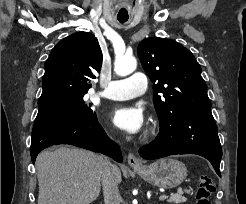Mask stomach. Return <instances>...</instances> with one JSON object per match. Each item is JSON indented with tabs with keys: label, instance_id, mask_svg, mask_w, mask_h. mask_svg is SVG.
<instances>
[{
	"label": "stomach",
	"instance_id": "stomach-1",
	"mask_svg": "<svg viewBox=\"0 0 246 204\" xmlns=\"http://www.w3.org/2000/svg\"><path fill=\"white\" fill-rule=\"evenodd\" d=\"M134 171L146 182L162 188H174L187 177L184 163L173 158L159 159Z\"/></svg>",
	"mask_w": 246,
	"mask_h": 204
}]
</instances>
